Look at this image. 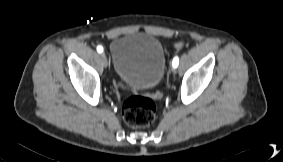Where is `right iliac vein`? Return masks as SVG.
Listing matches in <instances>:
<instances>
[{"label":"right iliac vein","mask_w":283,"mask_h":162,"mask_svg":"<svg viewBox=\"0 0 283 162\" xmlns=\"http://www.w3.org/2000/svg\"><path fill=\"white\" fill-rule=\"evenodd\" d=\"M101 58H102V64L103 66L106 68L108 66V59L105 53L101 54Z\"/></svg>","instance_id":"63e3f726"}]
</instances>
